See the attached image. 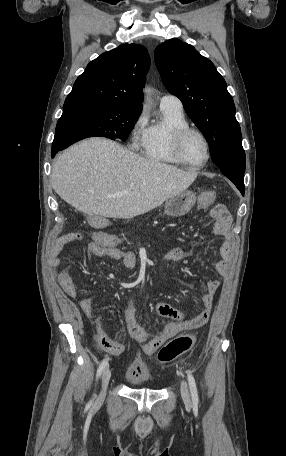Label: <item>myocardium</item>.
<instances>
[{
  "label": "myocardium",
  "instance_id": "myocardium-1",
  "mask_svg": "<svg viewBox=\"0 0 286 456\" xmlns=\"http://www.w3.org/2000/svg\"><path fill=\"white\" fill-rule=\"evenodd\" d=\"M189 133L198 134L203 139V141L206 145V158L200 164H193V163L189 162L182 153V150H181L182 142H183L184 138L186 137V135H188ZM171 150H172L174 156L182 164L187 165L191 168H195V169L204 167L210 161V158H211V144H210L208 137L200 129L189 126V125L179 127V128H176L175 130H173V132L171 134Z\"/></svg>",
  "mask_w": 286,
  "mask_h": 456
}]
</instances>
